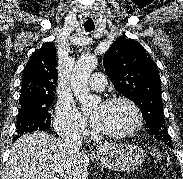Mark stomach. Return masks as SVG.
<instances>
[{
	"mask_svg": "<svg viewBox=\"0 0 183 179\" xmlns=\"http://www.w3.org/2000/svg\"><path fill=\"white\" fill-rule=\"evenodd\" d=\"M97 155L102 166L120 172H132L145 161L144 151L135 144L104 143Z\"/></svg>",
	"mask_w": 183,
	"mask_h": 179,
	"instance_id": "stomach-1",
	"label": "stomach"
}]
</instances>
